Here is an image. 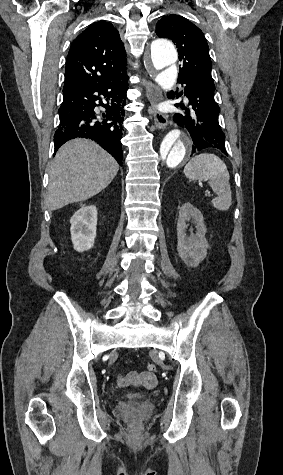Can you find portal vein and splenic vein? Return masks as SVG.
I'll use <instances>...</instances> for the list:
<instances>
[{
  "instance_id": "portal-vein-and-splenic-vein-1",
  "label": "portal vein and splenic vein",
  "mask_w": 283,
  "mask_h": 475,
  "mask_svg": "<svg viewBox=\"0 0 283 475\" xmlns=\"http://www.w3.org/2000/svg\"><path fill=\"white\" fill-rule=\"evenodd\" d=\"M214 193H215L214 191L211 193V191L209 189H206L204 191V197L207 198V199L214 198L215 197Z\"/></svg>"
}]
</instances>
